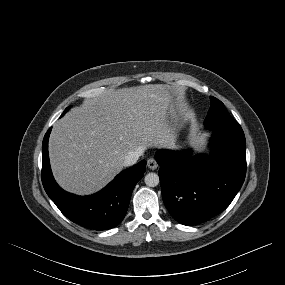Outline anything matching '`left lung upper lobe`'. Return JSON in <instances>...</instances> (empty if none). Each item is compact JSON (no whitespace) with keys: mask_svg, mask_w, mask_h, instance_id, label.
<instances>
[{"mask_svg":"<svg viewBox=\"0 0 285 285\" xmlns=\"http://www.w3.org/2000/svg\"><path fill=\"white\" fill-rule=\"evenodd\" d=\"M211 106L204 121L207 129H235L241 128L239 123L230 116L224 104L215 97H210Z\"/></svg>","mask_w":285,"mask_h":285,"instance_id":"left-lung-upper-lobe-1","label":"left lung upper lobe"}]
</instances>
